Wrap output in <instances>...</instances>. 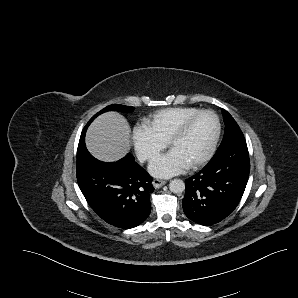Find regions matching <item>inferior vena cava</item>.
Wrapping results in <instances>:
<instances>
[{
	"instance_id": "602c4592",
	"label": "inferior vena cava",
	"mask_w": 298,
	"mask_h": 298,
	"mask_svg": "<svg viewBox=\"0 0 298 298\" xmlns=\"http://www.w3.org/2000/svg\"><path fill=\"white\" fill-rule=\"evenodd\" d=\"M145 155H141V161L143 160V159H145Z\"/></svg>"
}]
</instances>
